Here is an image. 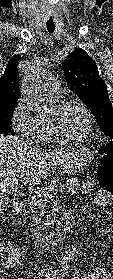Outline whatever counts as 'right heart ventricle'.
<instances>
[{
  "mask_svg": "<svg viewBox=\"0 0 113 279\" xmlns=\"http://www.w3.org/2000/svg\"><path fill=\"white\" fill-rule=\"evenodd\" d=\"M39 134L35 140L38 143H47L51 140V133L44 119L38 118Z\"/></svg>",
  "mask_w": 113,
  "mask_h": 279,
  "instance_id": "right-heart-ventricle-1",
  "label": "right heart ventricle"
}]
</instances>
